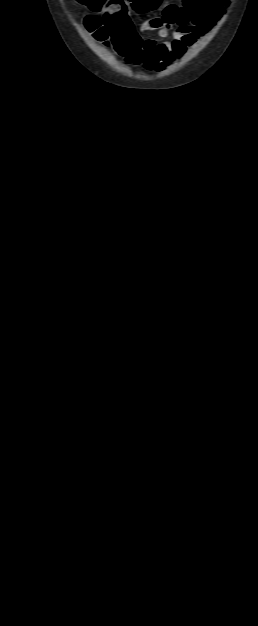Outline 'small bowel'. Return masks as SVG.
<instances>
[{
  "instance_id": "1",
  "label": "small bowel",
  "mask_w": 258,
  "mask_h": 626,
  "mask_svg": "<svg viewBox=\"0 0 258 626\" xmlns=\"http://www.w3.org/2000/svg\"><path fill=\"white\" fill-rule=\"evenodd\" d=\"M229 4L230 0H184L181 4H168L161 17L149 19L142 25V30L157 31L158 39H142L122 9L123 2L112 1L93 33L128 61L161 71L208 33ZM172 30V39L168 41Z\"/></svg>"
}]
</instances>
